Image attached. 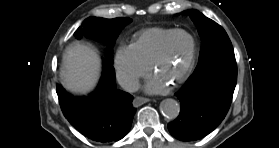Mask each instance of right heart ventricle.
Returning <instances> with one entry per match:
<instances>
[{"label":"right heart ventricle","mask_w":279,"mask_h":148,"mask_svg":"<svg viewBox=\"0 0 279 148\" xmlns=\"http://www.w3.org/2000/svg\"><path fill=\"white\" fill-rule=\"evenodd\" d=\"M175 29L153 27L140 32L132 48L138 57L148 66H151L156 54L163 44L165 38Z\"/></svg>","instance_id":"obj_1"}]
</instances>
